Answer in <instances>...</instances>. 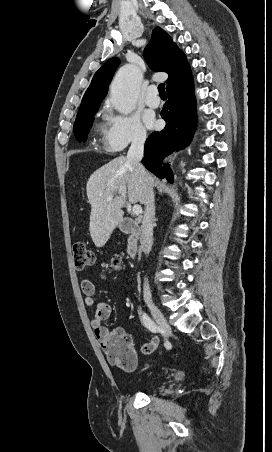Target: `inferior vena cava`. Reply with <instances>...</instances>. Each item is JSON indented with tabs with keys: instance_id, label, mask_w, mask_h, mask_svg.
Returning <instances> with one entry per match:
<instances>
[{
	"instance_id": "602c4592",
	"label": "inferior vena cava",
	"mask_w": 272,
	"mask_h": 452,
	"mask_svg": "<svg viewBox=\"0 0 272 452\" xmlns=\"http://www.w3.org/2000/svg\"><path fill=\"white\" fill-rule=\"evenodd\" d=\"M146 134H138L132 141L127 153V160L133 166L134 170L140 176L143 182V203L145 205L144 216L141 225L140 244L145 254H149L153 245V222L155 218L153 180L144 166L141 164L144 152ZM144 299H151V291L148 279L145 278L143 285Z\"/></svg>"
}]
</instances>
